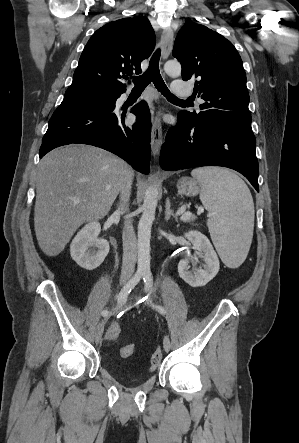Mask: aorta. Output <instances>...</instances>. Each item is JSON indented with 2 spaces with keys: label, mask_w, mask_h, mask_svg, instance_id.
Segmentation results:
<instances>
[{
  "label": "aorta",
  "mask_w": 299,
  "mask_h": 443,
  "mask_svg": "<svg viewBox=\"0 0 299 443\" xmlns=\"http://www.w3.org/2000/svg\"><path fill=\"white\" fill-rule=\"evenodd\" d=\"M165 72L171 77L181 75V65L178 61H167L164 65ZM158 204V189L150 186L146 190L142 205V216L138 224V267L140 274H150V239L151 227L155 219L156 207Z\"/></svg>",
  "instance_id": "1"
}]
</instances>
